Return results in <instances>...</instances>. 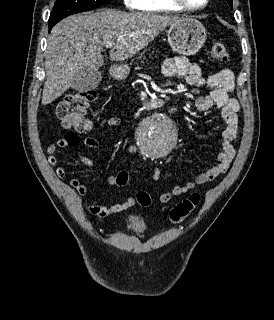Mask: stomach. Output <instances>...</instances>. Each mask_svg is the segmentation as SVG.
I'll use <instances>...</instances> for the list:
<instances>
[{"label": "stomach", "mask_w": 274, "mask_h": 320, "mask_svg": "<svg viewBox=\"0 0 274 320\" xmlns=\"http://www.w3.org/2000/svg\"><path fill=\"white\" fill-rule=\"evenodd\" d=\"M206 40L207 34L203 24L193 18H181L168 30L169 46L180 56H195L203 48ZM140 58H143V54H140ZM128 72L129 68L124 64H115L109 70L114 80H124Z\"/></svg>", "instance_id": "1"}]
</instances>
